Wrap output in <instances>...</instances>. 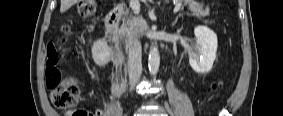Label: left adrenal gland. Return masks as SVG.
<instances>
[{"label": "left adrenal gland", "instance_id": "1", "mask_svg": "<svg viewBox=\"0 0 283 116\" xmlns=\"http://www.w3.org/2000/svg\"><path fill=\"white\" fill-rule=\"evenodd\" d=\"M177 21H178V16L175 18L174 22L172 23V26H175Z\"/></svg>", "mask_w": 283, "mask_h": 116}]
</instances>
